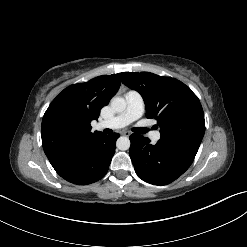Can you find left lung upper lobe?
<instances>
[{
  "label": "left lung upper lobe",
  "mask_w": 247,
  "mask_h": 247,
  "mask_svg": "<svg viewBox=\"0 0 247 247\" xmlns=\"http://www.w3.org/2000/svg\"><path fill=\"white\" fill-rule=\"evenodd\" d=\"M122 83L138 91L146 106V117L155 118L160 140L196 155L205 132L198 97L182 82L149 72L121 73Z\"/></svg>",
  "instance_id": "obj_1"
}]
</instances>
